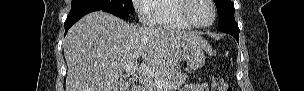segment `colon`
I'll list each match as a JSON object with an SVG mask.
<instances>
[{
	"label": "colon",
	"instance_id": "5ec220e1",
	"mask_svg": "<svg viewBox=\"0 0 304 91\" xmlns=\"http://www.w3.org/2000/svg\"><path fill=\"white\" fill-rule=\"evenodd\" d=\"M212 90L213 91H232V88L222 77L217 76L213 79Z\"/></svg>",
	"mask_w": 304,
	"mask_h": 91
}]
</instances>
